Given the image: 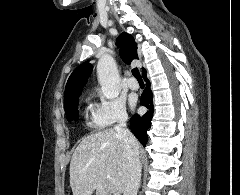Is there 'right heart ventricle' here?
<instances>
[{
  "label": "right heart ventricle",
  "instance_id": "e07e8e85",
  "mask_svg": "<svg viewBox=\"0 0 240 195\" xmlns=\"http://www.w3.org/2000/svg\"><path fill=\"white\" fill-rule=\"evenodd\" d=\"M91 107H88V109H87V111H86V117L88 116V110L90 109ZM87 124L89 125V126H94V127H96V128H98V129H100V128H102V127H104L105 125H103L101 122H99L95 117L93 118V122H87Z\"/></svg>",
  "mask_w": 240,
  "mask_h": 195
}]
</instances>
